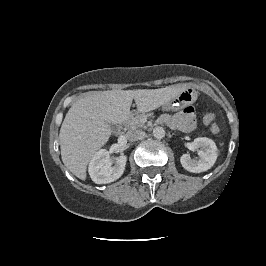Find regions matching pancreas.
<instances>
[{
	"mask_svg": "<svg viewBox=\"0 0 266 266\" xmlns=\"http://www.w3.org/2000/svg\"><path fill=\"white\" fill-rule=\"evenodd\" d=\"M146 118V115L144 114H138L135 117H132L129 120V126L131 129H137V128H146L144 119Z\"/></svg>",
	"mask_w": 266,
	"mask_h": 266,
	"instance_id": "1",
	"label": "pancreas"
}]
</instances>
